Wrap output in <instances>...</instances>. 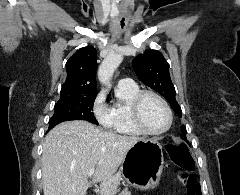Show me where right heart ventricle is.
<instances>
[{
  "label": "right heart ventricle",
  "instance_id": "e07e8e85",
  "mask_svg": "<svg viewBox=\"0 0 240 195\" xmlns=\"http://www.w3.org/2000/svg\"><path fill=\"white\" fill-rule=\"evenodd\" d=\"M135 83H119L117 87V98L112 109V118L103 125L107 131H114V136H136L142 132L136 127L132 118V101L139 92Z\"/></svg>",
  "mask_w": 240,
  "mask_h": 195
}]
</instances>
